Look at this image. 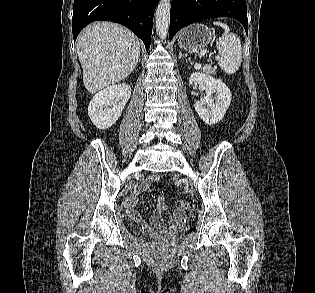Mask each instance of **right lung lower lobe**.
<instances>
[{"instance_id":"right-lung-lower-lobe-1","label":"right lung lower lobe","mask_w":315,"mask_h":293,"mask_svg":"<svg viewBox=\"0 0 315 293\" xmlns=\"http://www.w3.org/2000/svg\"><path fill=\"white\" fill-rule=\"evenodd\" d=\"M159 0H74L72 31H80L96 20L120 23L139 38L148 50L151 44L153 15Z\"/></svg>"}]
</instances>
